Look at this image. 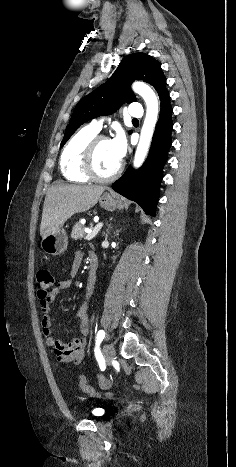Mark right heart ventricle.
<instances>
[{
  "instance_id": "obj_1",
  "label": "right heart ventricle",
  "mask_w": 236,
  "mask_h": 467,
  "mask_svg": "<svg viewBox=\"0 0 236 467\" xmlns=\"http://www.w3.org/2000/svg\"><path fill=\"white\" fill-rule=\"evenodd\" d=\"M97 131L86 126L76 132L66 144L60 157V169L64 178L70 182L83 183L90 178L83 172V151Z\"/></svg>"
}]
</instances>
